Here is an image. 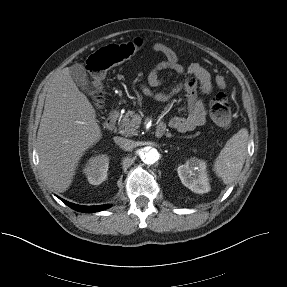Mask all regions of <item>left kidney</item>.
<instances>
[{"instance_id": "1", "label": "left kidney", "mask_w": 287, "mask_h": 287, "mask_svg": "<svg viewBox=\"0 0 287 287\" xmlns=\"http://www.w3.org/2000/svg\"><path fill=\"white\" fill-rule=\"evenodd\" d=\"M177 172L182 184L194 193L203 194L210 191L205 161L192 157L180 165Z\"/></svg>"}]
</instances>
